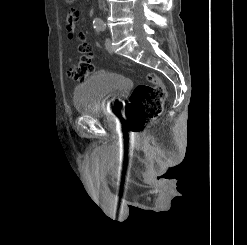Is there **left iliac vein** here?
<instances>
[{"mask_svg":"<svg viewBox=\"0 0 247 245\" xmlns=\"http://www.w3.org/2000/svg\"><path fill=\"white\" fill-rule=\"evenodd\" d=\"M105 46H106V49L107 51L112 54L113 53V47H112V43H111V39L110 38H107L106 41H105Z\"/></svg>","mask_w":247,"mask_h":245,"instance_id":"1","label":"left iliac vein"}]
</instances>
